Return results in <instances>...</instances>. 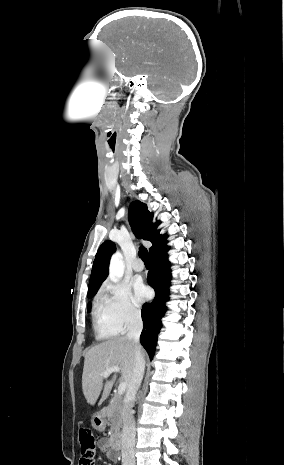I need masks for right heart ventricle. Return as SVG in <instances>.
Listing matches in <instances>:
<instances>
[{"label": "right heart ventricle", "instance_id": "e07e8e85", "mask_svg": "<svg viewBox=\"0 0 284 465\" xmlns=\"http://www.w3.org/2000/svg\"><path fill=\"white\" fill-rule=\"evenodd\" d=\"M92 327L96 339L114 338L121 332L116 326L106 308L101 304H96L92 313Z\"/></svg>", "mask_w": 284, "mask_h": 465}]
</instances>
